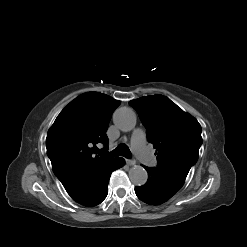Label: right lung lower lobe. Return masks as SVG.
<instances>
[{
  "label": "right lung lower lobe",
  "mask_w": 247,
  "mask_h": 247,
  "mask_svg": "<svg viewBox=\"0 0 247 247\" xmlns=\"http://www.w3.org/2000/svg\"><path fill=\"white\" fill-rule=\"evenodd\" d=\"M125 164L123 158H115L98 172L88 176L68 190V194L77 203L92 207L100 204L108 194V182L111 173Z\"/></svg>",
  "instance_id": "1"
}]
</instances>
